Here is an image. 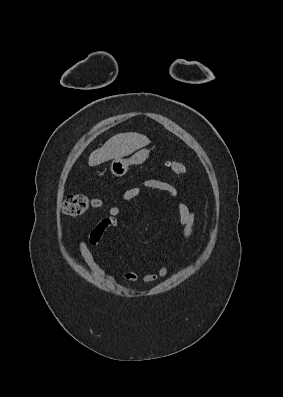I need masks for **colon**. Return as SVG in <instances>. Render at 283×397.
<instances>
[{
  "instance_id": "5ec220e1",
  "label": "colon",
  "mask_w": 283,
  "mask_h": 397,
  "mask_svg": "<svg viewBox=\"0 0 283 397\" xmlns=\"http://www.w3.org/2000/svg\"><path fill=\"white\" fill-rule=\"evenodd\" d=\"M168 167L176 175H183L187 171L186 166L180 162H169ZM96 205H98L97 200L91 199L83 193H70L63 201L62 211L68 216H78Z\"/></svg>"
}]
</instances>
